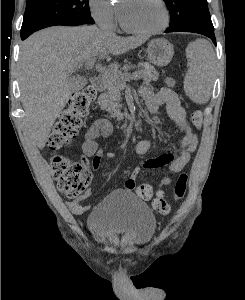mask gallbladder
Wrapping results in <instances>:
<instances>
[{
	"mask_svg": "<svg viewBox=\"0 0 245 300\" xmlns=\"http://www.w3.org/2000/svg\"><path fill=\"white\" fill-rule=\"evenodd\" d=\"M86 78L84 77H70L69 85L73 92L81 90L86 85Z\"/></svg>",
	"mask_w": 245,
	"mask_h": 300,
	"instance_id": "1",
	"label": "gallbladder"
}]
</instances>
